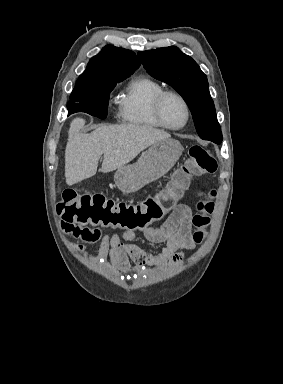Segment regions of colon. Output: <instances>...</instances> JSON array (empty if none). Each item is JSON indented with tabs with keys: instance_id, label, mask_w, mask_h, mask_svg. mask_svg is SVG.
<instances>
[{
	"instance_id": "1",
	"label": "colon",
	"mask_w": 283,
	"mask_h": 384,
	"mask_svg": "<svg viewBox=\"0 0 283 384\" xmlns=\"http://www.w3.org/2000/svg\"><path fill=\"white\" fill-rule=\"evenodd\" d=\"M217 161L203 146L194 145L189 150L186 165L179 170L167 188L139 203L117 202L101 194L82 193L66 189L57 204L61 223L66 226H100L125 231H145L151 224L161 220L176 205L193 176L212 174ZM215 191L202 194L193 217L196 227L193 239L200 243L204 229L214 210Z\"/></svg>"
}]
</instances>
